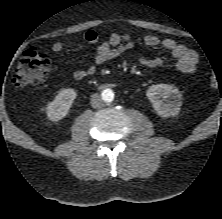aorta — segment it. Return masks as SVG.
Instances as JSON below:
<instances>
[{"label":"aorta","mask_w":222,"mask_h":219,"mask_svg":"<svg viewBox=\"0 0 222 219\" xmlns=\"http://www.w3.org/2000/svg\"><path fill=\"white\" fill-rule=\"evenodd\" d=\"M103 99H104L106 102H111V101L114 99V93L112 92V90L106 89V90L103 92Z\"/></svg>","instance_id":"1"}]
</instances>
